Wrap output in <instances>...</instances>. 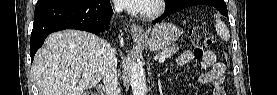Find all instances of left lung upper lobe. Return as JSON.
Here are the masks:
<instances>
[{"label": "left lung upper lobe", "mask_w": 277, "mask_h": 95, "mask_svg": "<svg viewBox=\"0 0 277 95\" xmlns=\"http://www.w3.org/2000/svg\"><path fill=\"white\" fill-rule=\"evenodd\" d=\"M181 0H167L166 8L170 7L172 4L177 3Z\"/></svg>", "instance_id": "1"}]
</instances>
